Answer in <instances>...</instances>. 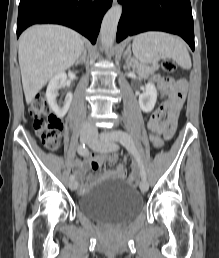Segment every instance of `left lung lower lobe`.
<instances>
[{"instance_id": "0a47b994", "label": "left lung lower lobe", "mask_w": 219, "mask_h": 258, "mask_svg": "<svg viewBox=\"0 0 219 258\" xmlns=\"http://www.w3.org/2000/svg\"><path fill=\"white\" fill-rule=\"evenodd\" d=\"M123 6L117 42L127 36L156 30L181 36L194 50L190 0H118Z\"/></svg>"}]
</instances>
